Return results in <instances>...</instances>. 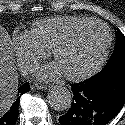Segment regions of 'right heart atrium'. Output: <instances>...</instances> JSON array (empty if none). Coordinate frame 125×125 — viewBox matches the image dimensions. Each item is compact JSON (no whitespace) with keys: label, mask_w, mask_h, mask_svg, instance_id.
<instances>
[{"label":"right heart atrium","mask_w":125,"mask_h":125,"mask_svg":"<svg viewBox=\"0 0 125 125\" xmlns=\"http://www.w3.org/2000/svg\"><path fill=\"white\" fill-rule=\"evenodd\" d=\"M11 47L18 66L24 73L33 71L48 55V51L37 43L31 31L28 30H16L12 35Z\"/></svg>","instance_id":"obj_1"}]
</instances>
